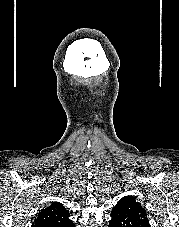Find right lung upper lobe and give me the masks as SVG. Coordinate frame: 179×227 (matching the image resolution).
Returning a JSON list of instances; mask_svg holds the SVG:
<instances>
[{"label": "right lung upper lobe", "instance_id": "cb5924a9", "mask_svg": "<svg viewBox=\"0 0 179 227\" xmlns=\"http://www.w3.org/2000/svg\"><path fill=\"white\" fill-rule=\"evenodd\" d=\"M69 212L59 202L42 209L33 227H74Z\"/></svg>", "mask_w": 179, "mask_h": 227}]
</instances>
